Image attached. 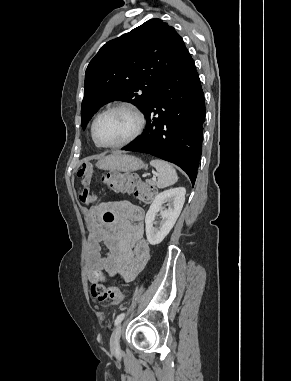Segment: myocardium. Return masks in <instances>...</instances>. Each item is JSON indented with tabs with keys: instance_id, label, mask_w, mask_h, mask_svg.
Instances as JSON below:
<instances>
[{
	"instance_id": "obj_1",
	"label": "myocardium",
	"mask_w": 291,
	"mask_h": 381,
	"mask_svg": "<svg viewBox=\"0 0 291 381\" xmlns=\"http://www.w3.org/2000/svg\"><path fill=\"white\" fill-rule=\"evenodd\" d=\"M118 109H125V110H129L130 112H132L136 119H137V126H136V129L135 131L128 137L126 138L125 140L121 141V142H118V143H114V144H106V143H103L99 138H98V135H97V130H96V127H97V123L98 121L106 114L112 112V111H115V110H118ZM145 116L144 114L142 113V111L134 104L132 103H129V102H121V103H117L107 109H105L104 111H102L100 114H98L96 116V118L94 119L93 123H92V128H91V131H92V137L93 139L95 140V142L100 146V147H104V148H118V147H122V146H125V145H128L130 144L131 142L135 141L143 132L144 130V127H145Z\"/></svg>"
}]
</instances>
